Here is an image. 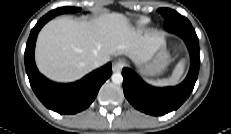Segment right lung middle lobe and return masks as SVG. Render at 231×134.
Here are the masks:
<instances>
[{
    "label": "right lung middle lobe",
    "mask_w": 231,
    "mask_h": 134,
    "mask_svg": "<svg viewBox=\"0 0 231 134\" xmlns=\"http://www.w3.org/2000/svg\"><path fill=\"white\" fill-rule=\"evenodd\" d=\"M78 11H80L79 8H75V7H62V8H58V9L52 10V11H50L46 15L54 17V16L62 14V13H66V12H78Z\"/></svg>",
    "instance_id": "1"
}]
</instances>
